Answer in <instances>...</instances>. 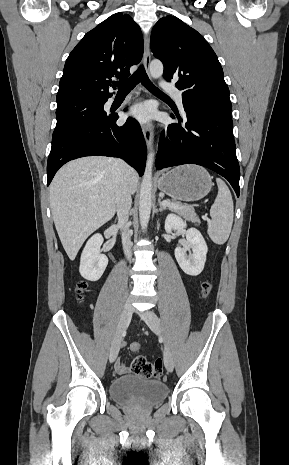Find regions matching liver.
Returning a JSON list of instances; mask_svg holds the SVG:
<instances>
[{"label":"liver","instance_id":"liver-1","mask_svg":"<svg viewBox=\"0 0 289 465\" xmlns=\"http://www.w3.org/2000/svg\"><path fill=\"white\" fill-rule=\"evenodd\" d=\"M124 174L134 193L137 172L127 165ZM118 176L114 159L100 156L70 161L56 173L50 185V206L70 260L75 259L88 236L114 216Z\"/></svg>","mask_w":289,"mask_h":465}]
</instances>
